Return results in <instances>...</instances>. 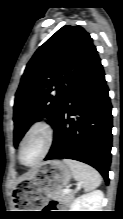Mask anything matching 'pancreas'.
Masks as SVG:
<instances>
[{
  "mask_svg": "<svg viewBox=\"0 0 123 219\" xmlns=\"http://www.w3.org/2000/svg\"><path fill=\"white\" fill-rule=\"evenodd\" d=\"M54 198H56L57 200L61 202L70 204L73 201L74 195L73 193L65 194L63 191H60L54 194Z\"/></svg>",
  "mask_w": 123,
  "mask_h": 219,
  "instance_id": "pancreas-1",
  "label": "pancreas"
}]
</instances>
